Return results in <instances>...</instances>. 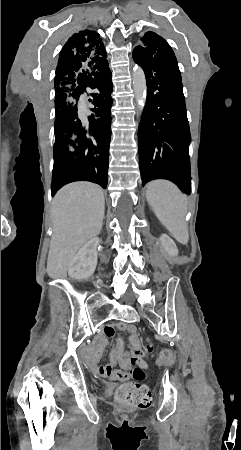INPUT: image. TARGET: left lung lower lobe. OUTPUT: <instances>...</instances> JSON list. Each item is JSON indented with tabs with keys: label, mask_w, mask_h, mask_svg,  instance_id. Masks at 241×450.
Returning a JSON list of instances; mask_svg holds the SVG:
<instances>
[{
	"label": "left lung lower lobe",
	"mask_w": 241,
	"mask_h": 450,
	"mask_svg": "<svg viewBox=\"0 0 241 450\" xmlns=\"http://www.w3.org/2000/svg\"><path fill=\"white\" fill-rule=\"evenodd\" d=\"M133 59L144 70L148 87L138 132L142 183L167 179L190 194V130L174 52L168 44L154 54L134 48Z\"/></svg>",
	"instance_id": "left-lung-lower-lobe-1"
}]
</instances>
